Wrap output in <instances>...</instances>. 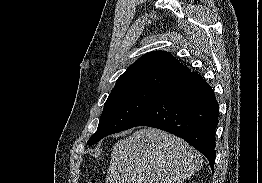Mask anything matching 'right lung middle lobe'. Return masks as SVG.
Returning a JSON list of instances; mask_svg holds the SVG:
<instances>
[{
    "instance_id": "right-lung-middle-lobe-1",
    "label": "right lung middle lobe",
    "mask_w": 262,
    "mask_h": 183,
    "mask_svg": "<svg viewBox=\"0 0 262 183\" xmlns=\"http://www.w3.org/2000/svg\"><path fill=\"white\" fill-rule=\"evenodd\" d=\"M156 90H134L109 95L97 131L90 137L89 146L102 138L122 131L154 98Z\"/></svg>"
}]
</instances>
